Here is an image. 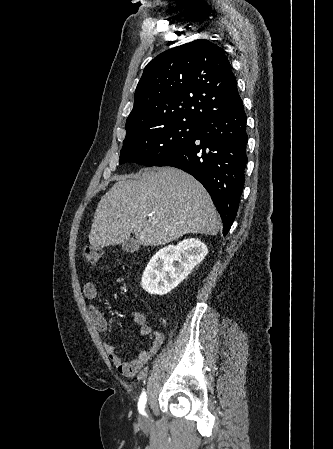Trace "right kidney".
I'll return each instance as SVG.
<instances>
[{
  "instance_id": "1",
  "label": "right kidney",
  "mask_w": 333,
  "mask_h": 449,
  "mask_svg": "<svg viewBox=\"0 0 333 449\" xmlns=\"http://www.w3.org/2000/svg\"><path fill=\"white\" fill-rule=\"evenodd\" d=\"M199 239L183 240L160 249L150 259L142 276V288L151 295H165L177 287L207 255Z\"/></svg>"
}]
</instances>
